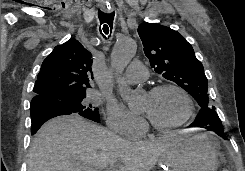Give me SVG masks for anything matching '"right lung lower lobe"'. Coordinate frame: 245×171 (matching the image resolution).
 <instances>
[{
	"instance_id": "obj_1",
	"label": "right lung lower lobe",
	"mask_w": 245,
	"mask_h": 171,
	"mask_svg": "<svg viewBox=\"0 0 245 171\" xmlns=\"http://www.w3.org/2000/svg\"><path fill=\"white\" fill-rule=\"evenodd\" d=\"M30 110L32 134H35L47 120L56 116L74 113L62 103L51 99L32 100Z\"/></svg>"
}]
</instances>
